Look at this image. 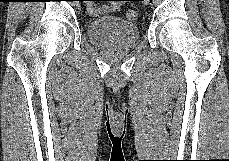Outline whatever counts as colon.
<instances>
[{
    "instance_id": "5ec220e1",
    "label": "colon",
    "mask_w": 229,
    "mask_h": 161,
    "mask_svg": "<svg viewBox=\"0 0 229 161\" xmlns=\"http://www.w3.org/2000/svg\"><path fill=\"white\" fill-rule=\"evenodd\" d=\"M89 1L93 2L96 0H89ZM111 1H117V0H111ZM90 7H92V5H90ZM138 16H139V11L137 9H134V8L127 9L125 12V17L128 20H135L138 18Z\"/></svg>"
}]
</instances>
